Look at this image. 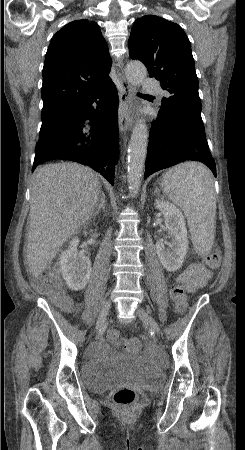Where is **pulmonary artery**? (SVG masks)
Returning a JSON list of instances; mask_svg holds the SVG:
<instances>
[{
	"instance_id": "pulmonary-artery-1",
	"label": "pulmonary artery",
	"mask_w": 245,
	"mask_h": 450,
	"mask_svg": "<svg viewBox=\"0 0 245 450\" xmlns=\"http://www.w3.org/2000/svg\"><path fill=\"white\" fill-rule=\"evenodd\" d=\"M143 91L145 93H158L159 92V86L155 79L153 78H145L142 81Z\"/></svg>"
}]
</instances>
